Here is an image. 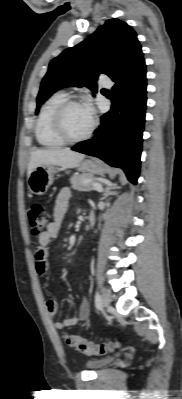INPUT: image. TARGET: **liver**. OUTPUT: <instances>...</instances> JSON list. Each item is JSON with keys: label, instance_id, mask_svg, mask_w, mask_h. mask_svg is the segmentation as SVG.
Returning a JSON list of instances; mask_svg holds the SVG:
<instances>
[{"label": "liver", "instance_id": "1", "mask_svg": "<svg viewBox=\"0 0 182 399\" xmlns=\"http://www.w3.org/2000/svg\"><path fill=\"white\" fill-rule=\"evenodd\" d=\"M85 158L82 153L71 151L68 148L39 149L31 153L27 168V177L39 165L51 164L66 168L78 167L79 163Z\"/></svg>", "mask_w": 182, "mask_h": 399}]
</instances>
